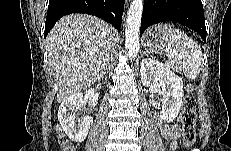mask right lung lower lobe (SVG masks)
I'll list each match as a JSON object with an SVG mask.
<instances>
[{
  "mask_svg": "<svg viewBox=\"0 0 231 151\" xmlns=\"http://www.w3.org/2000/svg\"><path fill=\"white\" fill-rule=\"evenodd\" d=\"M125 0H49L44 38L64 15L86 13L97 16L120 29Z\"/></svg>",
  "mask_w": 231,
  "mask_h": 151,
  "instance_id": "1",
  "label": "right lung lower lobe"
}]
</instances>
